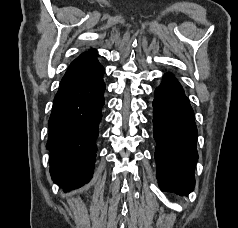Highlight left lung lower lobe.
Here are the masks:
<instances>
[{
	"instance_id": "0a47b994",
	"label": "left lung lower lobe",
	"mask_w": 238,
	"mask_h": 228,
	"mask_svg": "<svg viewBox=\"0 0 238 228\" xmlns=\"http://www.w3.org/2000/svg\"><path fill=\"white\" fill-rule=\"evenodd\" d=\"M153 110L159 186L162 191L188 195L195 185L197 128L189 100L171 73L155 90Z\"/></svg>"
}]
</instances>
